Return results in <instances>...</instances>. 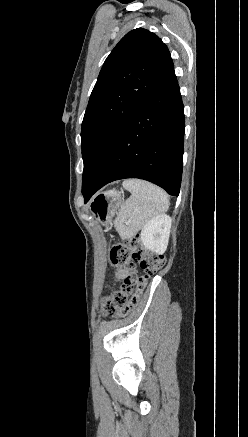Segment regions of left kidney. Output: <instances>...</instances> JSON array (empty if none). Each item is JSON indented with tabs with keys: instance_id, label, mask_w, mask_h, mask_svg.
I'll list each match as a JSON object with an SVG mask.
<instances>
[{
	"instance_id": "5707ae66",
	"label": "left kidney",
	"mask_w": 248,
	"mask_h": 437,
	"mask_svg": "<svg viewBox=\"0 0 248 437\" xmlns=\"http://www.w3.org/2000/svg\"><path fill=\"white\" fill-rule=\"evenodd\" d=\"M172 220L162 214L152 218L141 231V242L145 249L163 254L168 246Z\"/></svg>"
}]
</instances>
